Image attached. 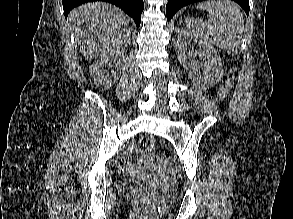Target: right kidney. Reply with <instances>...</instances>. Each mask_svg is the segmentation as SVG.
I'll return each instance as SVG.
<instances>
[{
	"label": "right kidney",
	"instance_id": "ca27d5eb",
	"mask_svg": "<svg viewBox=\"0 0 293 219\" xmlns=\"http://www.w3.org/2000/svg\"><path fill=\"white\" fill-rule=\"evenodd\" d=\"M125 59L126 58L123 54L100 57L89 68V73L92 76L94 83L97 86H104L106 88H109L115 84L121 75ZM111 63L115 64V71L109 73V71L104 69V67H106V65L110 66Z\"/></svg>",
	"mask_w": 293,
	"mask_h": 219
}]
</instances>
